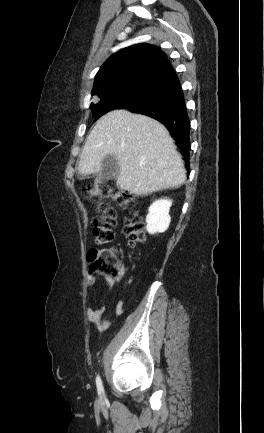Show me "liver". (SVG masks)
Instances as JSON below:
<instances>
[{"label": "liver", "mask_w": 264, "mask_h": 433, "mask_svg": "<svg viewBox=\"0 0 264 433\" xmlns=\"http://www.w3.org/2000/svg\"><path fill=\"white\" fill-rule=\"evenodd\" d=\"M116 156V185L137 196L177 188L186 181V170L168 130L156 120L126 110L102 116L83 146L79 174H96L103 160Z\"/></svg>", "instance_id": "liver-1"}]
</instances>
